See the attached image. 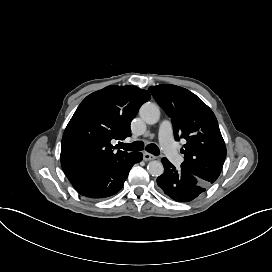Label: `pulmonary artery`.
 I'll return each mask as SVG.
<instances>
[{
    "mask_svg": "<svg viewBox=\"0 0 272 272\" xmlns=\"http://www.w3.org/2000/svg\"><path fill=\"white\" fill-rule=\"evenodd\" d=\"M159 144L161 146L162 152L168 155L173 163L180 167L184 165V160L179 157L177 152H175L176 145L172 137L171 123L168 121L163 122L160 126Z\"/></svg>",
    "mask_w": 272,
    "mask_h": 272,
    "instance_id": "1",
    "label": "pulmonary artery"
}]
</instances>
